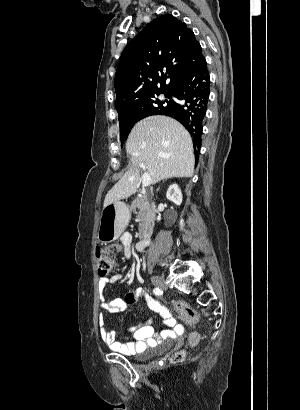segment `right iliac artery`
<instances>
[{"label":"right iliac artery","instance_id":"obj_1","mask_svg":"<svg viewBox=\"0 0 300 410\" xmlns=\"http://www.w3.org/2000/svg\"><path fill=\"white\" fill-rule=\"evenodd\" d=\"M153 292L155 295H158V296L163 294V291L160 288H154Z\"/></svg>","mask_w":300,"mask_h":410}]
</instances>
